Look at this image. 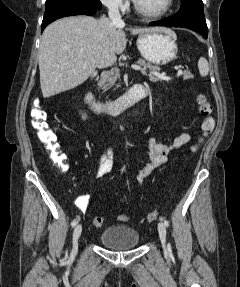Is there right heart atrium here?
I'll list each match as a JSON object with an SVG mask.
<instances>
[{
  "label": "right heart atrium",
  "mask_w": 240,
  "mask_h": 287,
  "mask_svg": "<svg viewBox=\"0 0 240 287\" xmlns=\"http://www.w3.org/2000/svg\"><path fill=\"white\" fill-rule=\"evenodd\" d=\"M102 4L110 10L121 11L125 9L127 0H101Z\"/></svg>",
  "instance_id": "1"
}]
</instances>
